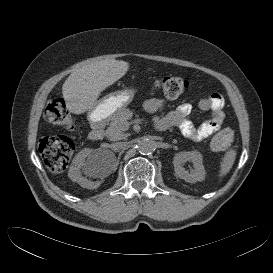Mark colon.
<instances>
[{
    "instance_id": "5ec220e1",
    "label": "colon",
    "mask_w": 273,
    "mask_h": 273,
    "mask_svg": "<svg viewBox=\"0 0 273 273\" xmlns=\"http://www.w3.org/2000/svg\"><path fill=\"white\" fill-rule=\"evenodd\" d=\"M153 86L165 97L176 98L186 91L188 81L178 76H166L156 79ZM45 117L53 124L62 125L68 129L75 128L62 98H55L48 102ZM233 141V132L224 129L211 139L209 148L217 152L224 151L232 146ZM38 148L48 169L52 172H62L73 154L74 142L65 136H49L40 140Z\"/></svg>"
}]
</instances>
